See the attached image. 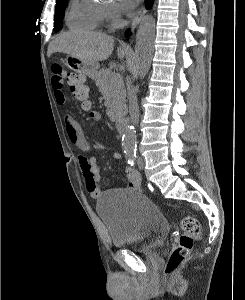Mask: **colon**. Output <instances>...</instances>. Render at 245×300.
Masks as SVG:
<instances>
[{"mask_svg":"<svg viewBox=\"0 0 245 300\" xmlns=\"http://www.w3.org/2000/svg\"><path fill=\"white\" fill-rule=\"evenodd\" d=\"M54 75L59 76L70 88L73 97L81 103L84 109L89 108V88L84 78L76 73L70 72L61 65L55 64L52 67ZM182 235L174 250L171 252L164 268L166 275H172L184 262L194 246V243L201 236V225L197 218L185 216L181 220Z\"/></svg>","mask_w":245,"mask_h":300,"instance_id":"1","label":"colon"}]
</instances>
